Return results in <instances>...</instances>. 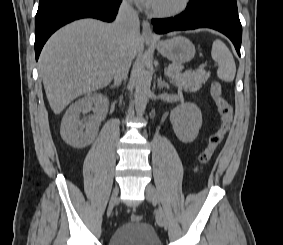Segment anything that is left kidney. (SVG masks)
<instances>
[{
  "mask_svg": "<svg viewBox=\"0 0 283 245\" xmlns=\"http://www.w3.org/2000/svg\"><path fill=\"white\" fill-rule=\"evenodd\" d=\"M170 121L178 139L183 143H191L202 126V114L195 104L183 103L171 111Z\"/></svg>",
  "mask_w": 283,
  "mask_h": 245,
  "instance_id": "obj_1",
  "label": "left kidney"
}]
</instances>
